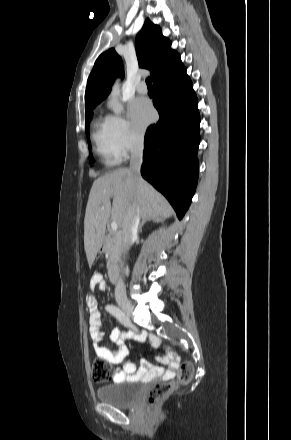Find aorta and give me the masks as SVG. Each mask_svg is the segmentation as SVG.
<instances>
[{
  "label": "aorta",
  "instance_id": "obj_1",
  "mask_svg": "<svg viewBox=\"0 0 291 440\" xmlns=\"http://www.w3.org/2000/svg\"><path fill=\"white\" fill-rule=\"evenodd\" d=\"M119 95H120V86L117 83L113 87L108 102V108L111 109L116 115H119L123 112V106L119 102Z\"/></svg>",
  "mask_w": 291,
  "mask_h": 440
}]
</instances>
